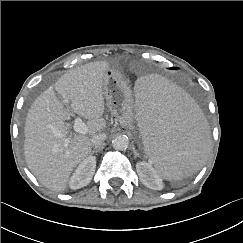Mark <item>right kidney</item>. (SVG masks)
I'll return each mask as SVG.
<instances>
[{"instance_id": "right-kidney-1", "label": "right kidney", "mask_w": 243, "mask_h": 243, "mask_svg": "<svg viewBox=\"0 0 243 243\" xmlns=\"http://www.w3.org/2000/svg\"><path fill=\"white\" fill-rule=\"evenodd\" d=\"M96 168V158L87 157L82 161L70 178L69 187L73 190L80 189L90 183Z\"/></svg>"}]
</instances>
